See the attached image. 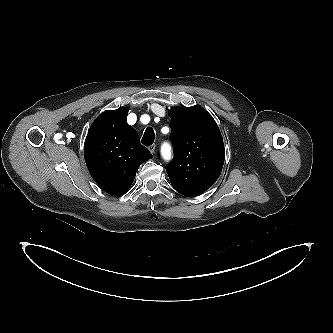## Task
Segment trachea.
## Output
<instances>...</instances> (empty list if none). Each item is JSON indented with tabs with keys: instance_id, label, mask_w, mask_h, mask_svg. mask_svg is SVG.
<instances>
[{
	"instance_id": "3493384b",
	"label": "trachea",
	"mask_w": 333,
	"mask_h": 333,
	"mask_svg": "<svg viewBox=\"0 0 333 333\" xmlns=\"http://www.w3.org/2000/svg\"><path fill=\"white\" fill-rule=\"evenodd\" d=\"M154 138H155L154 130L151 127H148L144 132V136L141 139V142L144 145L149 146L153 144Z\"/></svg>"
}]
</instances>
